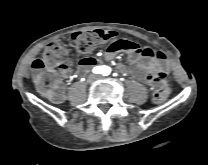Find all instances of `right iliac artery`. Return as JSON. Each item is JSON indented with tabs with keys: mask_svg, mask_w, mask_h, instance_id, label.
I'll return each mask as SVG.
<instances>
[{
	"mask_svg": "<svg viewBox=\"0 0 208 165\" xmlns=\"http://www.w3.org/2000/svg\"><path fill=\"white\" fill-rule=\"evenodd\" d=\"M103 70H104V67L103 66H96L93 69V72L96 73V74H100V73H103Z\"/></svg>",
	"mask_w": 208,
	"mask_h": 165,
	"instance_id": "82829eb1",
	"label": "right iliac artery"
}]
</instances>
